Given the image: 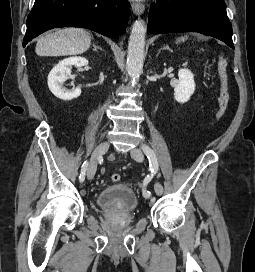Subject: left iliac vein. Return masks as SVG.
<instances>
[{"instance_id":"left-iliac-vein-1","label":"left iliac vein","mask_w":255,"mask_h":272,"mask_svg":"<svg viewBox=\"0 0 255 272\" xmlns=\"http://www.w3.org/2000/svg\"><path fill=\"white\" fill-rule=\"evenodd\" d=\"M131 157L138 161V162H142L143 161V153L140 149L138 148H134L131 150ZM154 190H155V193L157 195H161L163 193V186L159 183V182H156L155 185H154Z\"/></svg>"}]
</instances>
